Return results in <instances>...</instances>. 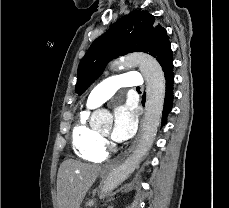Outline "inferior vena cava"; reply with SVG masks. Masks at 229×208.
<instances>
[{
	"instance_id": "602c4592",
	"label": "inferior vena cava",
	"mask_w": 229,
	"mask_h": 208,
	"mask_svg": "<svg viewBox=\"0 0 229 208\" xmlns=\"http://www.w3.org/2000/svg\"><path fill=\"white\" fill-rule=\"evenodd\" d=\"M144 130L145 132H148V130H150L149 126H145V118H144Z\"/></svg>"
}]
</instances>
